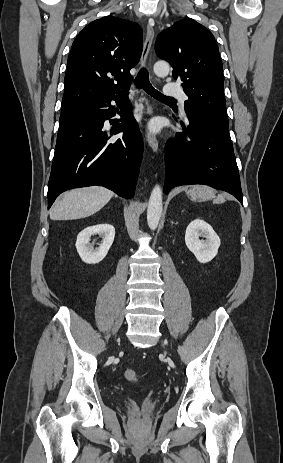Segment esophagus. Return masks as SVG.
I'll use <instances>...</instances> for the list:
<instances>
[{"label": "esophagus", "instance_id": "esophagus-1", "mask_svg": "<svg viewBox=\"0 0 283 463\" xmlns=\"http://www.w3.org/2000/svg\"><path fill=\"white\" fill-rule=\"evenodd\" d=\"M153 26H154V21L149 20L148 25H147V33H146V38H145V42H144L143 52H142V56H141V65L142 66H145L146 63H147L149 52H150V49H151V46H152V43H153V39H154ZM149 113H151V109L149 110ZM146 137H147V141H148L149 146L152 148V150L154 152H157V150H158V140H157L156 136L154 134H152L151 132L147 131Z\"/></svg>", "mask_w": 283, "mask_h": 463}]
</instances>
